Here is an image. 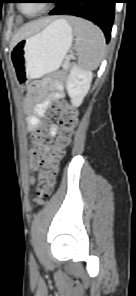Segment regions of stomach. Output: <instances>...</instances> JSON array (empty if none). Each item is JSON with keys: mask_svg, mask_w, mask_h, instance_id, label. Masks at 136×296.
<instances>
[{"mask_svg": "<svg viewBox=\"0 0 136 296\" xmlns=\"http://www.w3.org/2000/svg\"><path fill=\"white\" fill-rule=\"evenodd\" d=\"M72 26L57 19L41 31L19 40L11 50L14 71L21 83L38 79L59 69L71 47ZM25 90V85L19 86Z\"/></svg>", "mask_w": 136, "mask_h": 296, "instance_id": "0dacf381", "label": "stomach"}]
</instances>
